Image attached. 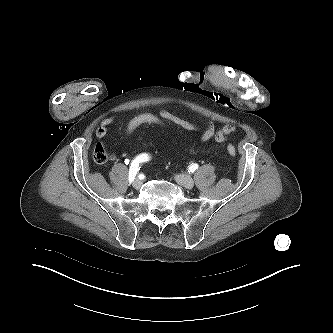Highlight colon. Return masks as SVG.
<instances>
[{"instance_id":"1","label":"colon","mask_w":333,"mask_h":333,"mask_svg":"<svg viewBox=\"0 0 333 333\" xmlns=\"http://www.w3.org/2000/svg\"><path fill=\"white\" fill-rule=\"evenodd\" d=\"M167 120L162 118L160 114H155L151 112H142L135 116H133L126 124V135L130 136L133 132L142 125H167ZM228 153L231 157L236 155V150L232 144L227 145ZM112 154H110L106 148L98 143L93 152V159L94 161L99 164L103 165L107 163L110 159H112Z\"/></svg>"}]
</instances>
